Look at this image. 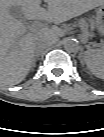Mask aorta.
Masks as SVG:
<instances>
[{
    "instance_id": "1",
    "label": "aorta",
    "mask_w": 104,
    "mask_h": 137,
    "mask_svg": "<svg viewBox=\"0 0 104 137\" xmlns=\"http://www.w3.org/2000/svg\"><path fill=\"white\" fill-rule=\"evenodd\" d=\"M62 45L64 50H66L69 53L77 52V50L79 49L77 40L71 38H65L62 41Z\"/></svg>"
}]
</instances>
